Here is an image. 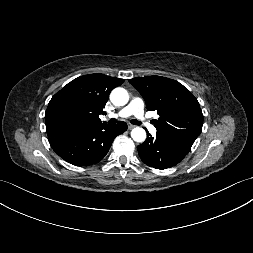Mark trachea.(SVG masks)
<instances>
[{"label": "trachea", "mask_w": 253, "mask_h": 253, "mask_svg": "<svg viewBox=\"0 0 253 253\" xmlns=\"http://www.w3.org/2000/svg\"><path fill=\"white\" fill-rule=\"evenodd\" d=\"M116 122H117V120L113 118V119L109 120L108 124L114 125V124H116ZM130 122L134 125H141V122H139L138 120H135V119L131 120Z\"/></svg>", "instance_id": "3493384b"}]
</instances>
